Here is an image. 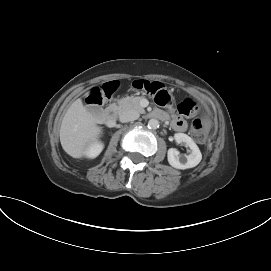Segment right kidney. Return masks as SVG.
<instances>
[{"instance_id":"ca27d5eb","label":"right kidney","mask_w":271,"mask_h":271,"mask_svg":"<svg viewBox=\"0 0 271 271\" xmlns=\"http://www.w3.org/2000/svg\"><path fill=\"white\" fill-rule=\"evenodd\" d=\"M102 150L103 144L100 142H95L88 148L86 155L89 158H95L101 153Z\"/></svg>"}]
</instances>
